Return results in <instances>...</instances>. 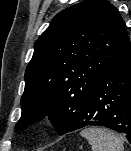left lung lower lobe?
Masks as SVG:
<instances>
[{
  "mask_svg": "<svg viewBox=\"0 0 131 151\" xmlns=\"http://www.w3.org/2000/svg\"><path fill=\"white\" fill-rule=\"evenodd\" d=\"M88 126L107 127L131 143V51L101 73L66 133Z\"/></svg>",
  "mask_w": 131,
  "mask_h": 151,
  "instance_id": "obj_1",
  "label": "left lung lower lobe"
}]
</instances>
